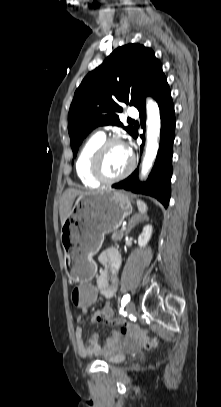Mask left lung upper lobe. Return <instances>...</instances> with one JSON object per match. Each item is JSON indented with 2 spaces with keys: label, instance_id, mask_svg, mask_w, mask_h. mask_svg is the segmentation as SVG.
Here are the masks:
<instances>
[{
  "label": "left lung upper lobe",
  "instance_id": "left-lung-upper-lobe-1",
  "mask_svg": "<svg viewBox=\"0 0 221 407\" xmlns=\"http://www.w3.org/2000/svg\"><path fill=\"white\" fill-rule=\"evenodd\" d=\"M165 75L151 48L128 44L115 49L104 62L83 79L68 114V131L75 157L82 140L97 126H123L117 113L119 103L145 105ZM132 136V126L123 127Z\"/></svg>",
  "mask_w": 221,
  "mask_h": 407
}]
</instances>
